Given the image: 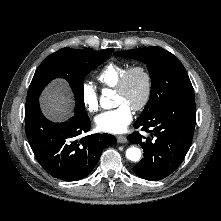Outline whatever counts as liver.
I'll return each instance as SVG.
<instances>
[{
  "label": "liver",
  "instance_id": "1",
  "mask_svg": "<svg viewBox=\"0 0 221 221\" xmlns=\"http://www.w3.org/2000/svg\"><path fill=\"white\" fill-rule=\"evenodd\" d=\"M44 115L53 121H64L72 115L73 101L66 84L57 80L52 82L40 98Z\"/></svg>",
  "mask_w": 221,
  "mask_h": 221
}]
</instances>
